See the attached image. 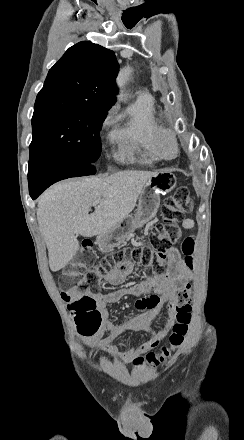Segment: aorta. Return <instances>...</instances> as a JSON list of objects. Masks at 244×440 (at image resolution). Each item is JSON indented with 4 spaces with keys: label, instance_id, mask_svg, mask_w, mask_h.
<instances>
[{
    "label": "aorta",
    "instance_id": "762f6f07",
    "mask_svg": "<svg viewBox=\"0 0 244 440\" xmlns=\"http://www.w3.org/2000/svg\"><path fill=\"white\" fill-rule=\"evenodd\" d=\"M129 76H130V69L129 68H123L119 72V75H118V78H117V84H118V87L120 89V94H119L120 98L122 97V92L121 91H122L123 87L125 86Z\"/></svg>",
    "mask_w": 244,
    "mask_h": 440
}]
</instances>
